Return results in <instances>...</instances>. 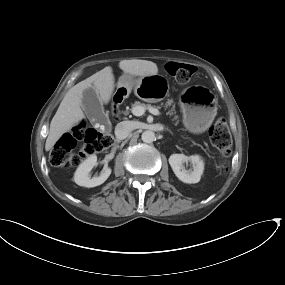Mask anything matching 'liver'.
Segmentation results:
<instances>
[{"label":"liver","instance_id":"1","mask_svg":"<svg viewBox=\"0 0 285 285\" xmlns=\"http://www.w3.org/2000/svg\"><path fill=\"white\" fill-rule=\"evenodd\" d=\"M119 68L124 73L134 76H150L158 73L157 65L147 60H121ZM114 82L112 68L107 66L73 86L66 93L50 123L45 150H52L56 142L65 133L69 132L74 125L85 119L82 97L83 91L86 88L93 87L97 91L101 102L108 104L114 91Z\"/></svg>","mask_w":285,"mask_h":285}]
</instances>
